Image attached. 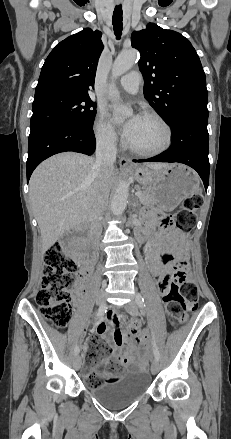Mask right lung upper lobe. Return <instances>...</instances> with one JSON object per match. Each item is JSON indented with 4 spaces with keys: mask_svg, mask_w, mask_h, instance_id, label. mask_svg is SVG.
Instances as JSON below:
<instances>
[{
    "mask_svg": "<svg viewBox=\"0 0 231 439\" xmlns=\"http://www.w3.org/2000/svg\"><path fill=\"white\" fill-rule=\"evenodd\" d=\"M101 35L86 28L61 41L45 60L35 99L56 93L89 96L103 50Z\"/></svg>",
    "mask_w": 231,
    "mask_h": 439,
    "instance_id": "right-lung-upper-lobe-1",
    "label": "right lung upper lobe"
}]
</instances>
